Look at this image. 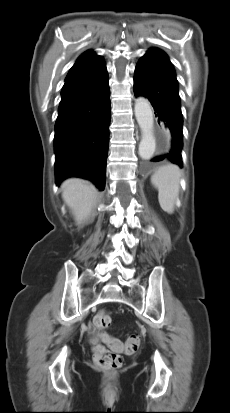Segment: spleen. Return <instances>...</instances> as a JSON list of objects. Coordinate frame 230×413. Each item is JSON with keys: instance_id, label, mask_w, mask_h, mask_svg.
<instances>
[{"instance_id": "1", "label": "spleen", "mask_w": 230, "mask_h": 413, "mask_svg": "<svg viewBox=\"0 0 230 413\" xmlns=\"http://www.w3.org/2000/svg\"><path fill=\"white\" fill-rule=\"evenodd\" d=\"M181 171L174 164L161 166L152 176L151 183L158 190V200L161 208L172 214L180 189Z\"/></svg>"}]
</instances>
